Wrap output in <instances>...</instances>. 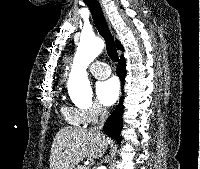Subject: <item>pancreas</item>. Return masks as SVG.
Wrapping results in <instances>:
<instances>
[{
    "label": "pancreas",
    "mask_w": 200,
    "mask_h": 169,
    "mask_svg": "<svg viewBox=\"0 0 200 169\" xmlns=\"http://www.w3.org/2000/svg\"><path fill=\"white\" fill-rule=\"evenodd\" d=\"M75 169H87V168H85L84 166H77V168Z\"/></svg>",
    "instance_id": "obj_1"
}]
</instances>
